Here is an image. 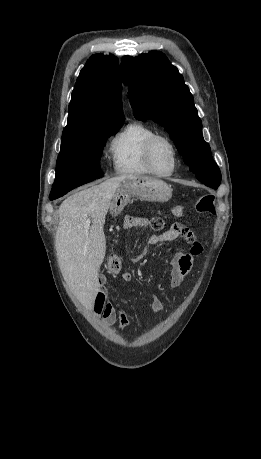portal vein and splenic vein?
<instances>
[{
  "label": "portal vein and splenic vein",
  "mask_w": 261,
  "mask_h": 459,
  "mask_svg": "<svg viewBox=\"0 0 261 459\" xmlns=\"http://www.w3.org/2000/svg\"><path fill=\"white\" fill-rule=\"evenodd\" d=\"M90 224H91V219L89 218L85 222V228L88 229L90 227Z\"/></svg>",
  "instance_id": "obj_1"
}]
</instances>
